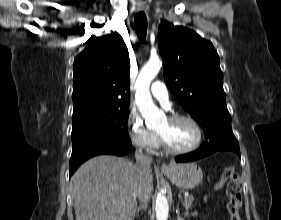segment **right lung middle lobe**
<instances>
[{
  "label": "right lung middle lobe",
  "instance_id": "1",
  "mask_svg": "<svg viewBox=\"0 0 281 220\" xmlns=\"http://www.w3.org/2000/svg\"><path fill=\"white\" fill-rule=\"evenodd\" d=\"M128 117L129 108L73 118V150L84 145L131 144L127 129Z\"/></svg>",
  "mask_w": 281,
  "mask_h": 220
}]
</instances>
